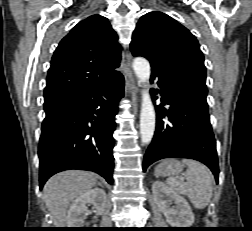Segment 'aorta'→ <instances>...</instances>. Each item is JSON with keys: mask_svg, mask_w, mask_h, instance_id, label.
Listing matches in <instances>:
<instances>
[{"mask_svg": "<svg viewBox=\"0 0 252 231\" xmlns=\"http://www.w3.org/2000/svg\"><path fill=\"white\" fill-rule=\"evenodd\" d=\"M133 69L139 81L146 83L151 75L149 62L142 57L135 58L133 61ZM155 109L149 94V90L142 91V104L140 112V135L143 144H149L153 138L155 131Z\"/></svg>", "mask_w": 252, "mask_h": 231, "instance_id": "aorta-1", "label": "aorta"}]
</instances>
